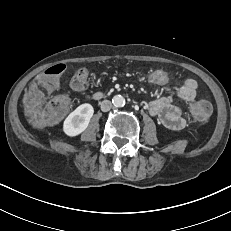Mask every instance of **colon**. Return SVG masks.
Returning a JSON list of instances; mask_svg holds the SVG:
<instances>
[{
    "label": "colon",
    "instance_id": "1",
    "mask_svg": "<svg viewBox=\"0 0 231 231\" xmlns=\"http://www.w3.org/2000/svg\"><path fill=\"white\" fill-rule=\"evenodd\" d=\"M64 64H56L49 67L45 74L36 77L34 86L28 91L24 98V106L30 120L36 125L46 122H56L63 118L70 108V98L66 95L56 96L50 103L47 113L41 109L43 93L54 89L57 85V78L65 70ZM140 79L150 85L162 86L171 85L172 77L168 76L162 69L143 67L139 72ZM89 72L86 69H79L72 78L71 86L74 90H82L87 86ZM212 104L208 100H197L191 105L193 116L200 121L207 120L211 115Z\"/></svg>",
    "mask_w": 231,
    "mask_h": 231
}]
</instances>
